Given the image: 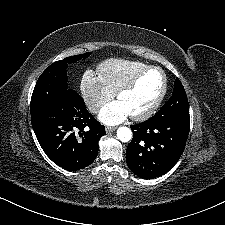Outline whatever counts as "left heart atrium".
I'll return each mask as SVG.
<instances>
[{
  "mask_svg": "<svg viewBox=\"0 0 225 225\" xmlns=\"http://www.w3.org/2000/svg\"><path fill=\"white\" fill-rule=\"evenodd\" d=\"M129 116L128 111L120 101L108 103L99 113V119L107 125H114L123 122Z\"/></svg>",
  "mask_w": 225,
  "mask_h": 225,
  "instance_id": "39dd6f15",
  "label": "left heart atrium"
}]
</instances>
